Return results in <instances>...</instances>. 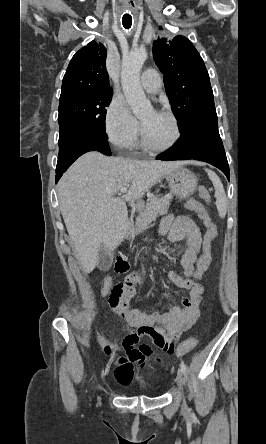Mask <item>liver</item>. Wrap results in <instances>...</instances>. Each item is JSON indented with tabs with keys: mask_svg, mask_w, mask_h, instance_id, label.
Wrapping results in <instances>:
<instances>
[{
	"mask_svg": "<svg viewBox=\"0 0 266 444\" xmlns=\"http://www.w3.org/2000/svg\"><path fill=\"white\" fill-rule=\"evenodd\" d=\"M184 164L107 157L96 151L74 162L58 183V199L66 229L86 273L98 265L100 246L111 254L129 233L126 203L114 197L120 189L129 186L125 199L135 201Z\"/></svg>",
	"mask_w": 266,
	"mask_h": 444,
	"instance_id": "1",
	"label": "liver"
}]
</instances>
